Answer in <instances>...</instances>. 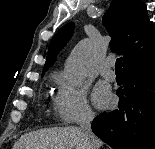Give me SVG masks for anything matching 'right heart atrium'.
<instances>
[{
	"label": "right heart atrium",
	"instance_id": "right-heart-atrium-1",
	"mask_svg": "<svg viewBox=\"0 0 155 149\" xmlns=\"http://www.w3.org/2000/svg\"><path fill=\"white\" fill-rule=\"evenodd\" d=\"M58 91L54 98V109L63 124L90 122L94 112L87 100L86 89L68 82L64 77H57Z\"/></svg>",
	"mask_w": 155,
	"mask_h": 149
}]
</instances>
